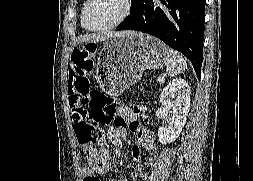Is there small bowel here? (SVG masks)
<instances>
[{
    "mask_svg": "<svg viewBox=\"0 0 253 181\" xmlns=\"http://www.w3.org/2000/svg\"><path fill=\"white\" fill-rule=\"evenodd\" d=\"M93 67V59L91 56L84 55L76 61L72 60V69L69 75L68 91L69 99L77 97L81 94L89 92V72ZM139 114L137 107L120 106L117 110L115 119V128L109 133V140L115 144L120 145V139L125 134L127 125L136 135V142L131 150V159L134 163H139L143 159V150L149 155V160H154L157 156V147L151 135L147 134L140 125L136 122L135 118ZM117 166L114 159L108 160L104 169H112ZM94 172H103V167H94ZM136 170L131 172V177L135 176ZM83 181H106V178H100L94 175L93 170L85 166L83 168ZM131 178H123L112 181H130Z\"/></svg>",
    "mask_w": 253,
    "mask_h": 181,
    "instance_id": "1",
    "label": "small bowel"
}]
</instances>
